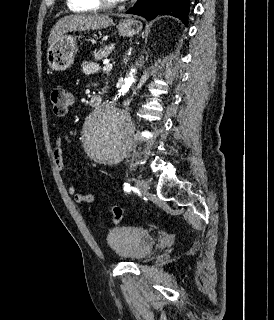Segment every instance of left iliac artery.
Instances as JSON below:
<instances>
[{"label": "left iliac artery", "mask_w": 274, "mask_h": 320, "mask_svg": "<svg viewBox=\"0 0 274 320\" xmlns=\"http://www.w3.org/2000/svg\"><path fill=\"white\" fill-rule=\"evenodd\" d=\"M124 190L126 192H130L131 191V186L128 183H124Z\"/></svg>", "instance_id": "left-iliac-artery-1"}]
</instances>
